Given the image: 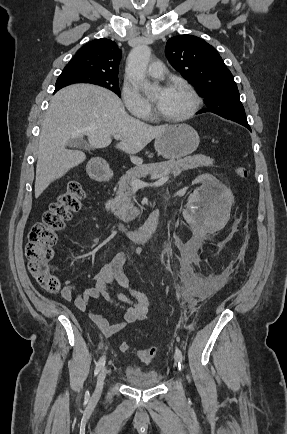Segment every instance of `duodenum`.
Segmentation results:
<instances>
[{
  "label": "duodenum",
  "mask_w": 287,
  "mask_h": 434,
  "mask_svg": "<svg viewBox=\"0 0 287 434\" xmlns=\"http://www.w3.org/2000/svg\"><path fill=\"white\" fill-rule=\"evenodd\" d=\"M89 172L91 177L98 181L111 180L113 176L111 170L104 160L92 163L89 168ZM159 218L160 211L156 209L151 212L146 223L139 228L129 230L122 224H117V228L131 241L139 244H145L154 236L158 227Z\"/></svg>",
  "instance_id": "1"
}]
</instances>
